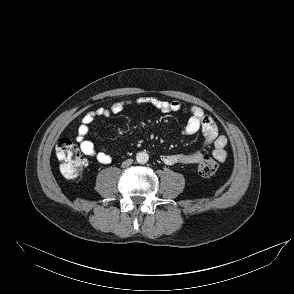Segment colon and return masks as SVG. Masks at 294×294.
Listing matches in <instances>:
<instances>
[{
    "label": "colon",
    "instance_id": "obj_1",
    "mask_svg": "<svg viewBox=\"0 0 294 294\" xmlns=\"http://www.w3.org/2000/svg\"><path fill=\"white\" fill-rule=\"evenodd\" d=\"M56 156L61 162L60 171L68 179H78L86 166V160L82 156L78 145L72 137H64L56 146ZM218 162L215 158L204 157L198 165V172L203 177L213 176L218 170Z\"/></svg>",
    "mask_w": 294,
    "mask_h": 294
}]
</instances>
